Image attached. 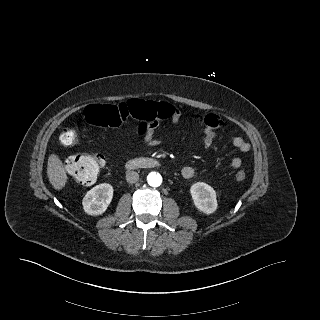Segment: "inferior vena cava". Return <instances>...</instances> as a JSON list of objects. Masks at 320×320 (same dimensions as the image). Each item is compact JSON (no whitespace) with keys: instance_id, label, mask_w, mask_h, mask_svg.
Segmentation results:
<instances>
[{"instance_id":"obj_1","label":"inferior vena cava","mask_w":320,"mask_h":320,"mask_svg":"<svg viewBox=\"0 0 320 320\" xmlns=\"http://www.w3.org/2000/svg\"><path fill=\"white\" fill-rule=\"evenodd\" d=\"M139 179V174L135 171H128L126 174V180L129 183H135Z\"/></svg>"}]
</instances>
